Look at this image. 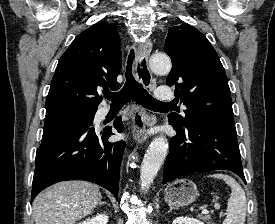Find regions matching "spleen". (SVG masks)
I'll use <instances>...</instances> for the list:
<instances>
[{"label":"spleen","instance_id":"spleen-1","mask_svg":"<svg viewBox=\"0 0 275 224\" xmlns=\"http://www.w3.org/2000/svg\"><path fill=\"white\" fill-rule=\"evenodd\" d=\"M210 177L222 179L231 188L227 203V217L223 224H244L246 218V196L239 183L229 175L213 174Z\"/></svg>","mask_w":275,"mask_h":224}]
</instances>
